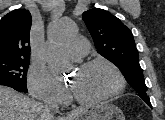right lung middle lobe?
Listing matches in <instances>:
<instances>
[{
  "instance_id": "obj_1",
  "label": "right lung middle lobe",
  "mask_w": 165,
  "mask_h": 120,
  "mask_svg": "<svg viewBox=\"0 0 165 120\" xmlns=\"http://www.w3.org/2000/svg\"><path fill=\"white\" fill-rule=\"evenodd\" d=\"M30 59L0 58V85L27 92L26 74Z\"/></svg>"
}]
</instances>
